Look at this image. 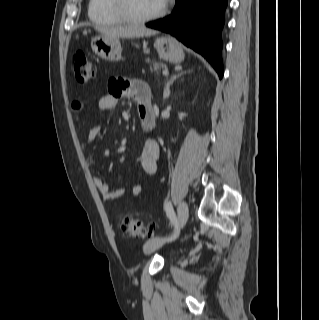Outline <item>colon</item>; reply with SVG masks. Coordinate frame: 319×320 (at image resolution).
Listing matches in <instances>:
<instances>
[{
  "label": "colon",
  "mask_w": 319,
  "mask_h": 320,
  "mask_svg": "<svg viewBox=\"0 0 319 320\" xmlns=\"http://www.w3.org/2000/svg\"><path fill=\"white\" fill-rule=\"evenodd\" d=\"M72 67L76 80L81 84L88 83L94 76V65L83 51L74 52ZM121 231L126 238H150L153 235V226L131 215H126L121 219Z\"/></svg>",
  "instance_id": "colon-1"
}]
</instances>
